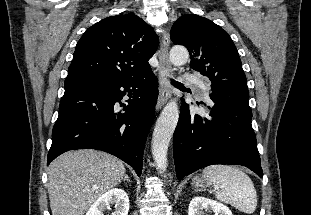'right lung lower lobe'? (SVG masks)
<instances>
[{"instance_id": "98d812e1", "label": "right lung lower lobe", "mask_w": 311, "mask_h": 215, "mask_svg": "<svg viewBox=\"0 0 311 215\" xmlns=\"http://www.w3.org/2000/svg\"><path fill=\"white\" fill-rule=\"evenodd\" d=\"M124 95L130 98L126 104L121 103ZM157 98L153 73L132 80L97 78L65 84L48 164L68 150L98 149L125 161L140 176Z\"/></svg>"}]
</instances>
